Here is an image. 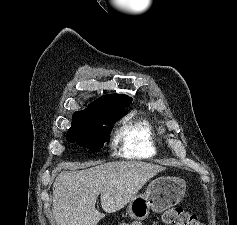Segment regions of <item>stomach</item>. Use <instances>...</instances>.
<instances>
[{
    "instance_id": "obj_1",
    "label": "stomach",
    "mask_w": 237,
    "mask_h": 225,
    "mask_svg": "<svg viewBox=\"0 0 237 225\" xmlns=\"http://www.w3.org/2000/svg\"><path fill=\"white\" fill-rule=\"evenodd\" d=\"M186 190L183 179L163 176L156 178L148 185L142 195H136L128 204L131 219L143 220L149 216L150 210L156 213L178 204Z\"/></svg>"
}]
</instances>
